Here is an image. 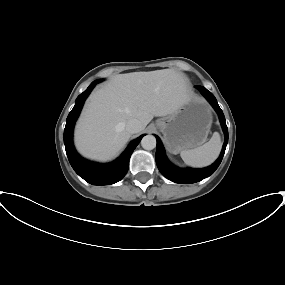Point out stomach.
<instances>
[{"mask_svg": "<svg viewBox=\"0 0 285 285\" xmlns=\"http://www.w3.org/2000/svg\"><path fill=\"white\" fill-rule=\"evenodd\" d=\"M211 123L210 107L200 97H191L178 110L156 121L168 150L173 154L205 143Z\"/></svg>", "mask_w": 285, "mask_h": 285, "instance_id": "stomach-1", "label": "stomach"}]
</instances>
